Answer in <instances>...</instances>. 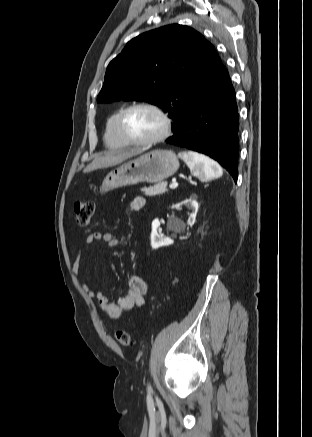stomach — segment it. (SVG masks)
<instances>
[{"label": "stomach", "instance_id": "stomach-1", "mask_svg": "<svg viewBox=\"0 0 312 437\" xmlns=\"http://www.w3.org/2000/svg\"><path fill=\"white\" fill-rule=\"evenodd\" d=\"M179 168L176 154L171 150H153L115 168L104 178L101 192L135 185L140 182L159 183Z\"/></svg>", "mask_w": 312, "mask_h": 437}]
</instances>
